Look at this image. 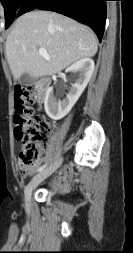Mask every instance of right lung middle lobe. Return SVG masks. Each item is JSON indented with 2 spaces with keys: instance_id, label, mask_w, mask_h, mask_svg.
Returning <instances> with one entry per match:
<instances>
[{
  "instance_id": "1",
  "label": "right lung middle lobe",
  "mask_w": 133,
  "mask_h": 253,
  "mask_svg": "<svg viewBox=\"0 0 133 253\" xmlns=\"http://www.w3.org/2000/svg\"><path fill=\"white\" fill-rule=\"evenodd\" d=\"M5 10L6 28L17 15L24 0H0Z\"/></svg>"
}]
</instances>
